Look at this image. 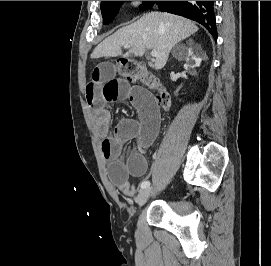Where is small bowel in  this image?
<instances>
[{
  "instance_id": "c3829d8e",
  "label": "small bowel",
  "mask_w": 271,
  "mask_h": 266,
  "mask_svg": "<svg viewBox=\"0 0 271 266\" xmlns=\"http://www.w3.org/2000/svg\"><path fill=\"white\" fill-rule=\"evenodd\" d=\"M86 101L92 110L94 128L102 138V154L110 160L109 175L114 186L127 196L135 195L130 177L144 175L148 168L145 153L160 133V114L151 94L116 76L108 63L97 65L85 90ZM128 100L135 107L138 118L119 121L110 132V113L107 107ZM135 139L137 151L126 160L120 158L123 145Z\"/></svg>"
}]
</instances>
